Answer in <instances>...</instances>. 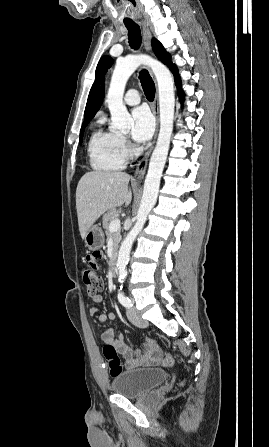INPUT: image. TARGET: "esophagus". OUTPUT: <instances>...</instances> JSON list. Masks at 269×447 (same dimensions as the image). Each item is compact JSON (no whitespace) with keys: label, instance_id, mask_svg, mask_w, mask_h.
<instances>
[{"label":"esophagus","instance_id":"obj_1","mask_svg":"<svg viewBox=\"0 0 269 447\" xmlns=\"http://www.w3.org/2000/svg\"><path fill=\"white\" fill-rule=\"evenodd\" d=\"M140 18H141V22H142L144 47L149 52V51L152 50V46H151L152 34H151L149 25L146 22V20L142 16ZM152 77L154 79L153 74H152ZM155 87H156V94H155V98H154L152 111H153V114H154V116L156 118V130H155V134H154V140L152 142L153 145L149 148V150L145 153V155L137 163L136 171H135V175H134V183L142 182V180H143V178H144V176L146 174L147 165H148V159H149L150 154H151V152L153 150V147H154L157 135H158V130H159V109H158V91H157L156 82H155Z\"/></svg>","mask_w":269,"mask_h":447}]
</instances>
